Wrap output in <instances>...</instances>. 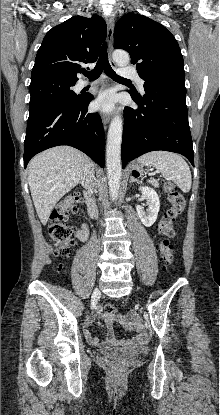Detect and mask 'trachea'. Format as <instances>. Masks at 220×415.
Here are the masks:
<instances>
[{
  "label": "trachea",
  "mask_w": 220,
  "mask_h": 415,
  "mask_svg": "<svg viewBox=\"0 0 220 415\" xmlns=\"http://www.w3.org/2000/svg\"><path fill=\"white\" fill-rule=\"evenodd\" d=\"M102 71L106 73L110 78L118 82H131V80L122 78L118 76L114 70L111 68L109 61H108V54H107V43L102 45L98 62L95 68L92 71H82V73L88 77L89 79H96L98 78Z\"/></svg>",
  "instance_id": "trachea-1"
}]
</instances>
